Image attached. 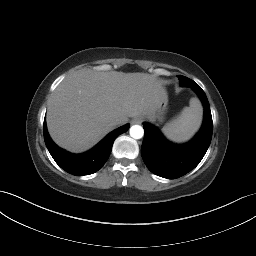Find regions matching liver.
I'll use <instances>...</instances> for the list:
<instances>
[{"instance_id": "1", "label": "liver", "mask_w": 256, "mask_h": 256, "mask_svg": "<svg viewBox=\"0 0 256 256\" xmlns=\"http://www.w3.org/2000/svg\"><path fill=\"white\" fill-rule=\"evenodd\" d=\"M166 97L162 83L146 73L75 72L51 95L47 128L60 147L83 152L114 129L112 121L148 117Z\"/></svg>"}]
</instances>
